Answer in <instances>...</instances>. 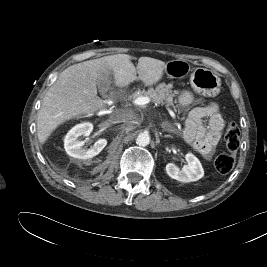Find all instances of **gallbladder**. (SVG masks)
I'll list each match as a JSON object with an SVG mask.
<instances>
[{
  "label": "gallbladder",
  "instance_id": "gallbladder-1",
  "mask_svg": "<svg viewBox=\"0 0 267 267\" xmlns=\"http://www.w3.org/2000/svg\"><path fill=\"white\" fill-rule=\"evenodd\" d=\"M110 82V80H109ZM109 86V83L108 82H101L99 87H102V88H107Z\"/></svg>",
  "mask_w": 267,
  "mask_h": 267
}]
</instances>
